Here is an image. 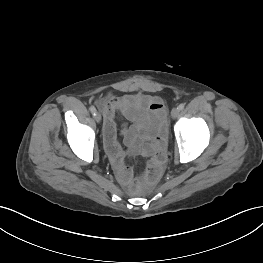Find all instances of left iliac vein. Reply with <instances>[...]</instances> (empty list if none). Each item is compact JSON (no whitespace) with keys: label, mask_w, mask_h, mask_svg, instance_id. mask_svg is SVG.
Listing matches in <instances>:
<instances>
[{"label":"left iliac vein","mask_w":263,"mask_h":263,"mask_svg":"<svg viewBox=\"0 0 263 263\" xmlns=\"http://www.w3.org/2000/svg\"><path fill=\"white\" fill-rule=\"evenodd\" d=\"M179 113H180V110L178 107L176 108H173L172 111H171V117L173 119L177 118L179 116Z\"/></svg>","instance_id":"obj_1"}]
</instances>
